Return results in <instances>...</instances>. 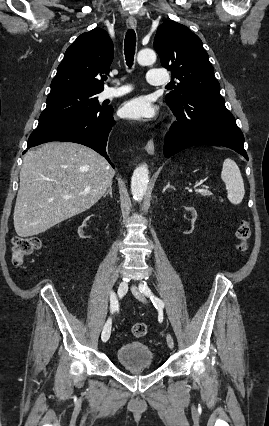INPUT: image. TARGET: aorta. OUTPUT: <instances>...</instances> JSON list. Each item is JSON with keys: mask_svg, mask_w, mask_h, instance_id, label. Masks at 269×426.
Here are the masks:
<instances>
[{"mask_svg": "<svg viewBox=\"0 0 269 426\" xmlns=\"http://www.w3.org/2000/svg\"><path fill=\"white\" fill-rule=\"evenodd\" d=\"M156 61V53L152 49H143L137 55L140 65H152ZM149 182V171L146 164L138 166L132 175L131 192L136 201H141L146 193Z\"/></svg>", "mask_w": 269, "mask_h": 426, "instance_id": "aorta-1", "label": "aorta"}]
</instances>
